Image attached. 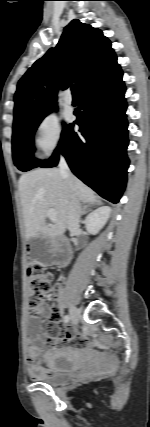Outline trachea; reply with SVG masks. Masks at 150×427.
I'll list each match as a JSON object with an SVG mask.
<instances>
[{"label": "trachea", "instance_id": "trachea-1", "mask_svg": "<svg viewBox=\"0 0 150 427\" xmlns=\"http://www.w3.org/2000/svg\"><path fill=\"white\" fill-rule=\"evenodd\" d=\"M71 91H72V94H73V95H77L76 85H74V84H73V85L71 86Z\"/></svg>", "mask_w": 150, "mask_h": 427}]
</instances>
